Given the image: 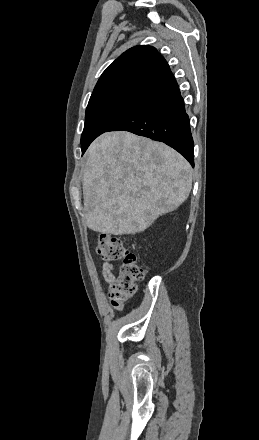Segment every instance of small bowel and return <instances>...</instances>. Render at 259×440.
<instances>
[{"mask_svg":"<svg viewBox=\"0 0 259 440\" xmlns=\"http://www.w3.org/2000/svg\"><path fill=\"white\" fill-rule=\"evenodd\" d=\"M112 270H113V265L110 262H103L100 268L101 275L109 283H111L115 279Z\"/></svg>","mask_w":259,"mask_h":440,"instance_id":"1","label":"small bowel"}]
</instances>
